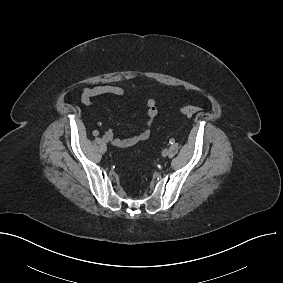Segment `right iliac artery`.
<instances>
[{
  "label": "right iliac artery",
  "instance_id": "1",
  "mask_svg": "<svg viewBox=\"0 0 283 283\" xmlns=\"http://www.w3.org/2000/svg\"><path fill=\"white\" fill-rule=\"evenodd\" d=\"M92 136L93 137H98L99 136V131L98 130H93L92 131Z\"/></svg>",
  "mask_w": 283,
  "mask_h": 283
}]
</instances>
